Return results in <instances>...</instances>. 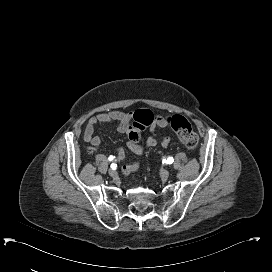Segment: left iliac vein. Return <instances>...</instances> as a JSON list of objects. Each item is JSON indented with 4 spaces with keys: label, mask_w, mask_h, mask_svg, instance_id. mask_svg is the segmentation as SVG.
Masks as SVG:
<instances>
[{
    "label": "left iliac vein",
    "mask_w": 272,
    "mask_h": 272,
    "mask_svg": "<svg viewBox=\"0 0 272 272\" xmlns=\"http://www.w3.org/2000/svg\"><path fill=\"white\" fill-rule=\"evenodd\" d=\"M160 175H161V177L163 179H167L169 177V175H170V172L168 170H166V169H162L160 171Z\"/></svg>",
    "instance_id": "obj_1"
}]
</instances>
